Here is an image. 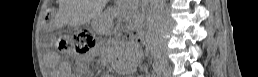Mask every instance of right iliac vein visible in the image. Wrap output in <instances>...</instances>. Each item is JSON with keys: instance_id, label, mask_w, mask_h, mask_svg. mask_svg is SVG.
I'll list each match as a JSON object with an SVG mask.
<instances>
[{"instance_id": "63e3f726", "label": "right iliac vein", "mask_w": 258, "mask_h": 77, "mask_svg": "<svg viewBox=\"0 0 258 77\" xmlns=\"http://www.w3.org/2000/svg\"><path fill=\"white\" fill-rule=\"evenodd\" d=\"M159 58L161 60V68L163 70L167 71L168 68H169V64H168V60H167L166 55L165 54H161V55H159Z\"/></svg>"}]
</instances>
